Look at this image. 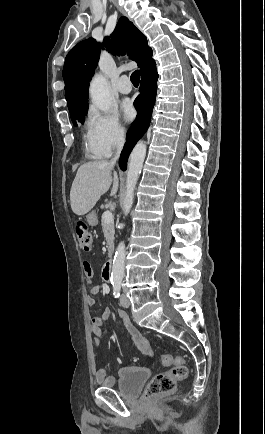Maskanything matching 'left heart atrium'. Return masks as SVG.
I'll return each mask as SVG.
<instances>
[{
  "label": "left heart atrium",
  "mask_w": 265,
  "mask_h": 434,
  "mask_svg": "<svg viewBox=\"0 0 265 434\" xmlns=\"http://www.w3.org/2000/svg\"><path fill=\"white\" fill-rule=\"evenodd\" d=\"M124 115L128 121H131L135 117V110L132 106L127 105L124 107Z\"/></svg>",
  "instance_id": "39dd6f15"
}]
</instances>
